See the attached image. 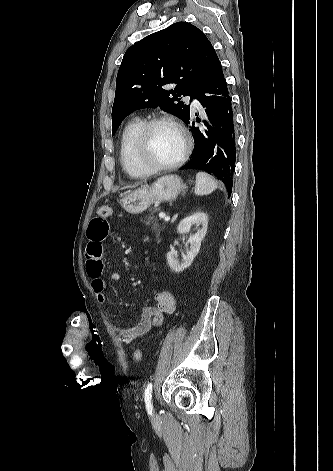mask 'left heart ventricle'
I'll return each mask as SVG.
<instances>
[{
	"label": "left heart ventricle",
	"instance_id": "left-heart-ventricle-1",
	"mask_svg": "<svg viewBox=\"0 0 333 471\" xmlns=\"http://www.w3.org/2000/svg\"><path fill=\"white\" fill-rule=\"evenodd\" d=\"M182 139L178 131L167 124L156 126L150 135V157L155 163L167 164L181 153Z\"/></svg>",
	"mask_w": 333,
	"mask_h": 471
}]
</instances>
